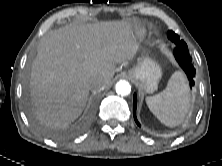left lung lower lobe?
I'll list each match as a JSON object with an SVG mask.
<instances>
[{
    "label": "left lung lower lobe",
    "instance_id": "1",
    "mask_svg": "<svg viewBox=\"0 0 222 166\" xmlns=\"http://www.w3.org/2000/svg\"><path fill=\"white\" fill-rule=\"evenodd\" d=\"M174 56L181 68L186 73L188 80L190 81V86L194 85L193 77L195 76L196 69L194 67V62L192 60V57L189 54L187 45H178L176 44V47L174 49ZM136 106H137V97L136 94H134V100H133V116L136 124L140 126L137 118H136Z\"/></svg>",
    "mask_w": 222,
    "mask_h": 166
}]
</instances>
